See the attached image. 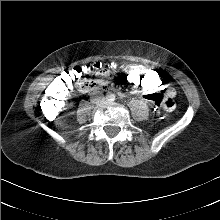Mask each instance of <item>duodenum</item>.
<instances>
[{
	"instance_id": "duodenum-1",
	"label": "duodenum",
	"mask_w": 220,
	"mask_h": 220,
	"mask_svg": "<svg viewBox=\"0 0 220 220\" xmlns=\"http://www.w3.org/2000/svg\"><path fill=\"white\" fill-rule=\"evenodd\" d=\"M95 87H90V86H87L83 81H81V86L79 89L83 90V91H87V90H91Z\"/></svg>"
}]
</instances>
